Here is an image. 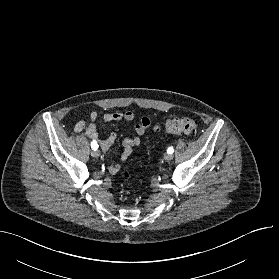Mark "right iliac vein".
<instances>
[{
	"label": "right iliac vein",
	"instance_id": "63e3f726",
	"mask_svg": "<svg viewBox=\"0 0 279 279\" xmlns=\"http://www.w3.org/2000/svg\"><path fill=\"white\" fill-rule=\"evenodd\" d=\"M91 155H92L93 157L97 158V157L100 156V152H99L98 150H93V151L91 152Z\"/></svg>",
	"mask_w": 279,
	"mask_h": 279
}]
</instances>
